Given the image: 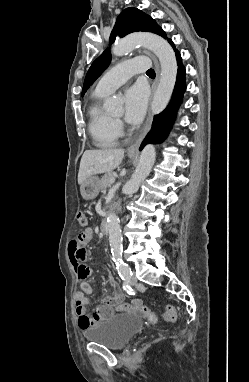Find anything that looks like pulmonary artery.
Here are the masks:
<instances>
[{
    "mask_svg": "<svg viewBox=\"0 0 249 382\" xmlns=\"http://www.w3.org/2000/svg\"><path fill=\"white\" fill-rule=\"evenodd\" d=\"M149 69V60L136 57L114 65L98 82L96 90L111 93L123 85L133 74Z\"/></svg>",
    "mask_w": 249,
    "mask_h": 382,
    "instance_id": "pulmonary-artery-1",
    "label": "pulmonary artery"
}]
</instances>
